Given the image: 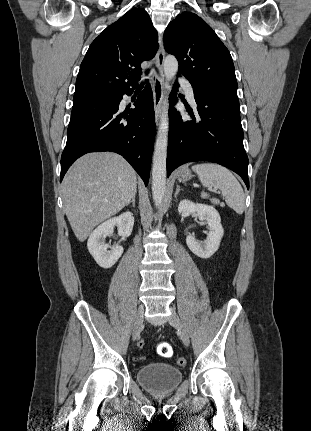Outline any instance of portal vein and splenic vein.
Segmentation results:
<instances>
[{
    "label": "portal vein and splenic vein",
    "instance_id": "1",
    "mask_svg": "<svg viewBox=\"0 0 311 431\" xmlns=\"http://www.w3.org/2000/svg\"><path fill=\"white\" fill-rule=\"evenodd\" d=\"M212 192H216V188H213Z\"/></svg>",
    "mask_w": 311,
    "mask_h": 431
}]
</instances>
